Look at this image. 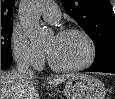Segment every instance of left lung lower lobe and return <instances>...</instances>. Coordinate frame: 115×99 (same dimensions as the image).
I'll return each instance as SVG.
<instances>
[{
	"label": "left lung lower lobe",
	"instance_id": "1",
	"mask_svg": "<svg viewBox=\"0 0 115 99\" xmlns=\"http://www.w3.org/2000/svg\"><path fill=\"white\" fill-rule=\"evenodd\" d=\"M83 72H106L115 74V63H110L99 67L91 66Z\"/></svg>",
	"mask_w": 115,
	"mask_h": 99
}]
</instances>
